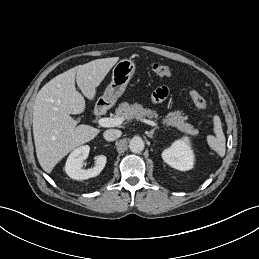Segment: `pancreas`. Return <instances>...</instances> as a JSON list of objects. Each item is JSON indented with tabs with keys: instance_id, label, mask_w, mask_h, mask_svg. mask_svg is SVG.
<instances>
[{
	"instance_id": "cf45deb5",
	"label": "pancreas",
	"mask_w": 259,
	"mask_h": 259,
	"mask_svg": "<svg viewBox=\"0 0 259 259\" xmlns=\"http://www.w3.org/2000/svg\"><path fill=\"white\" fill-rule=\"evenodd\" d=\"M116 115L122 117L124 120L130 121L135 118L148 117L149 119H158L156 111L143 108L141 104L135 103L130 105L127 102H123L116 109ZM187 116H184L180 111H174L167 114L166 118L162 120V123L166 126H173L179 130L188 133L196 134L197 130L189 123H186Z\"/></svg>"
}]
</instances>
